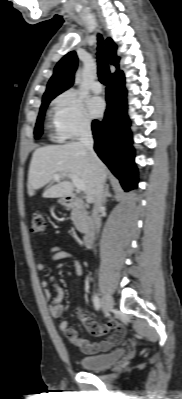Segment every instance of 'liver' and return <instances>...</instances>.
Here are the masks:
<instances>
[{"label": "liver", "instance_id": "obj_1", "mask_svg": "<svg viewBox=\"0 0 182 399\" xmlns=\"http://www.w3.org/2000/svg\"><path fill=\"white\" fill-rule=\"evenodd\" d=\"M100 172L107 178L106 166L98 159L94 161L80 142L64 145H50L36 149L32 155L28 174V195L49 184L56 173H68L77 176L85 184L86 201L95 200L96 174ZM73 183L62 180L49 187L43 194L45 198H64L72 195Z\"/></svg>", "mask_w": 182, "mask_h": 399}]
</instances>
